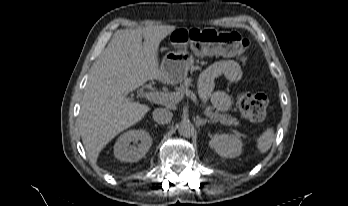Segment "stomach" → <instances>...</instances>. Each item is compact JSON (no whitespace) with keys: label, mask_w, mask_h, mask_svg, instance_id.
<instances>
[{"label":"stomach","mask_w":348,"mask_h":206,"mask_svg":"<svg viewBox=\"0 0 348 206\" xmlns=\"http://www.w3.org/2000/svg\"><path fill=\"white\" fill-rule=\"evenodd\" d=\"M196 43L202 44V41L178 42L177 50L166 53L160 65L164 81L170 84H177L186 78L188 70L195 62V57L200 56V53L189 50V46L191 48Z\"/></svg>","instance_id":"stomach-1"}]
</instances>
